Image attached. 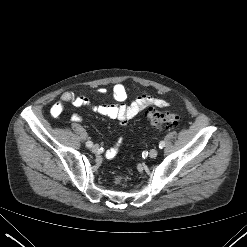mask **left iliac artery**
<instances>
[{
	"label": "left iliac artery",
	"mask_w": 247,
	"mask_h": 247,
	"mask_svg": "<svg viewBox=\"0 0 247 247\" xmlns=\"http://www.w3.org/2000/svg\"><path fill=\"white\" fill-rule=\"evenodd\" d=\"M164 147H165V142H164V141H161V142L159 143V148L162 149V148H164Z\"/></svg>",
	"instance_id": "1"
}]
</instances>
